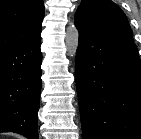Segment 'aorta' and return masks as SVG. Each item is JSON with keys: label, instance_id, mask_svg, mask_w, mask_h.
I'll return each instance as SVG.
<instances>
[{"label": "aorta", "instance_id": "1", "mask_svg": "<svg viewBox=\"0 0 141 139\" xmlns=\"http://www.w3.org/2000/svg\"><path fill=\"white\" fill-rule=\"evenodd\" d=\"M65 44L68 56H75L79 44V32L74 24L66 29Z\"/></svg>", "mask_w": 141, "mask_h": 139}]
</instances>
